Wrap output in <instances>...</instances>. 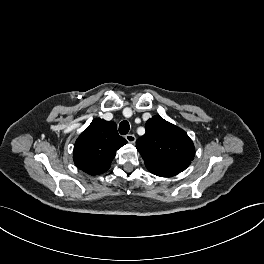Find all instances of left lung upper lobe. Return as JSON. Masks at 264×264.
I'll return each mask as SVG.
<instances>
[{
    "label": "left lung upper lobe",
    "instance_id": "5c2ea615",
    "mask_svg": "<svg viewBox=\"0 0 264 264\" xmlns=\"http://www.w3.org/2000/svg\"><path fill=\"white\" fill-rule=\"evenodd\" d=\"M146 133L136 141V148L146 167L182 172L194 158L195 150L187 133L154 116L146 122Z\"/></svg>",
    "mask_w": 264,
    "mask_h": 264
}]
</instances>
